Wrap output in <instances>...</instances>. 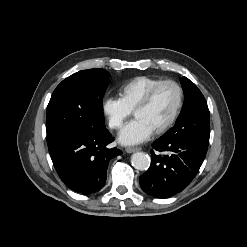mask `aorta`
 <instances>
[{
	"label": "aorta",
	"instance_id": "aorta-1",
	"mask_svg": "<svg viewBox=\"0 0 247 247\" xmlns=\"http://www.w3.org/2000/svg\"><path fill=\"white\" fill-rule=\"evenodd\" d=\"M131 163L136 169L144 171L150 167V157L144 152H136L131 157Z\"/></svg>",
	"mask_w": 247,
	"mask_h": 247
}]
</instances>
